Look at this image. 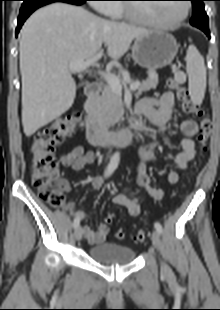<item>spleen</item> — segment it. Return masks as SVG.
<instances>
[{"label":"spleen","mask_w":220,"mask_h":310,"mask_svg":"<svg viewBox=\"0 0 220 310\" xmlns=\"http://www.w3.org/2000/svg\"><path fill=\"white\" fill-rule=\"evenodd\" d=\"M186 71L191 99L200 104L206 89V68L203 57L194 45H190L187 49Z\"/></svg>","instance_id":"1"}]
</instances>
